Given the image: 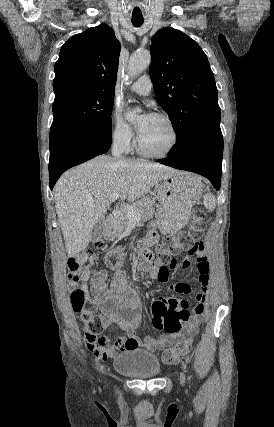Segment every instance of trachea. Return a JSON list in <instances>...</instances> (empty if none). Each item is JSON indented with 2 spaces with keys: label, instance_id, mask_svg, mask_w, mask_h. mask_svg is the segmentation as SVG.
<instances>
[{
  "label": "trachea",
  "instance_id": "obj_1",
  "mask_svg": "<svg viewBox=\"0 0 274 427\" xmlns=\"http://www.w3.org/2000/svg\"><path fill=\"white\" fill-rule=\"evenodd\" d=\"M143 22H144L143 18L132 19V24L134 27H140L143 24Z\"/></svg>",
  "mask_w": 274,
  "mask_h": 427
}]
</instances>
